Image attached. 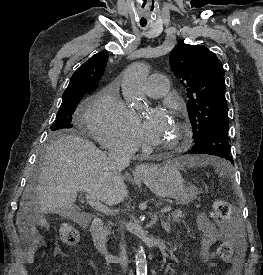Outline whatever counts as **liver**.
Returning <instances> with one entry per match:
<instances>
[{
    "instance_id": "liver-1",
    "label": "liver",
    "mask_w": 263,
    "mask_h": 275,
    "mask_svg": "<svg viewBox=\"0 0 263 275\" xmlns=\"http://www.w3.org/2000/svg\"><path fill=\"white\" fill-rule=\"evenodd\" d=\"M193 160L182 157L177 162ZM79 191L114 205L122 202L128 191L122 177L114 173L109 157L90 141L76 134L59 135L47 147L38 183L28 186L20 202L17 225L32 212L36 217L71 209ZM35 218V217H33Z\"/></svg>"
}]
</instances>
